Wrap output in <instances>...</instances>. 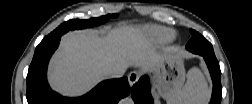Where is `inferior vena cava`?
Wrapping results in <instances>:
<instances>
[{"label":"inferior vena cava","instance_id":"602c4592","mask_svg":"<svg viewBox=\"0 0 252 104\" xmlns=\"http://www.w3.org/2000/svg\"><path fill=\"white\" fill-rule=\"evenodd\" d=\"M125 71L124 67L109 68L104 71V75L108 78H120L124 75Z\"/></svg>","mask_w":252,"mask_h":104}]
</instances>
